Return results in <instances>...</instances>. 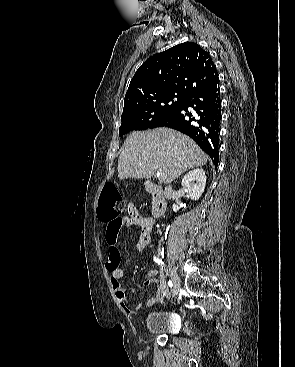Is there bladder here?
Wrapping results in <instances>:
<instances>
[{
  "label": "bladder",
  "instance_id": "1",
  "mask_svg": "<svg viewBox=\"0 0 295 367\" xmlns=\"http://www.w3.org/2000/svg\"><path fill=\"white\" fill-rule=\"evenodd\" d=\"M177 327L174 314L165 313L161 310H152L146 318V329L150 334H170Z\"/></svg>",
  "mask_w": 295,
  "mask_h": 367
}]
</instances>
